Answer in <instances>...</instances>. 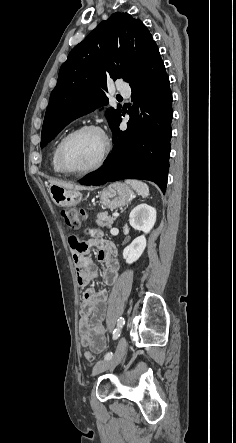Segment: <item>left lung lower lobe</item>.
I'll return each mask as SVG.
<instances>
[{
	"label": "left lung lower lobe",
	"mask_w": 236,
	"mask_h": 443,
	"mask_svg": "<svg viewBox=\"0 0 236 443\" xmlns=\"http://www.w3.org/2000/svg\"><path fill=\"white\" fill-rule=\"evenodd\" d=\"M129 84L133 105L128 111L127 130H119L120 115L111 128L115 145L105 165L86 175L81 184L102 185L121 179H143L155 182L165 192L173 110L169 78L157 45L151 50L139 76Z\"/></svg>",
	"instance_id": "left-lung-lower-lobe-1"
}]
</instances>
